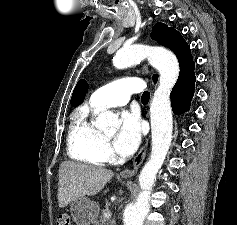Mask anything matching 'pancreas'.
<instances>
[{
    "label": "pancreas",
    "instance_id": "obj_1",
    "mask_svg": "<svg viewBox=\"0 0 237 225\" xmlns=\"http://www.w3.org/2000/svg\"><path fill=\"white\" fill-rule=\"evenodd\" d=\"M104 211L105 210H102L101 215L96 221V225H114V221L110 220L109 218L104 217L103 215Z\"/></svg>",
    "mask_w": 237,
    "mask_h": 225
}]
</instances>
